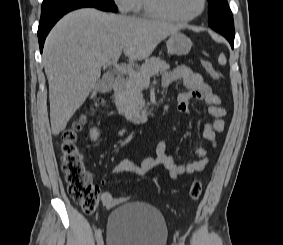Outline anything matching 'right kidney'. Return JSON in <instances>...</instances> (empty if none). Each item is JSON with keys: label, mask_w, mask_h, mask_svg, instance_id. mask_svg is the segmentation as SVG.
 <instances>
[{"label": "right kidney", "mask_w": 283, "mask_h": 245, "mask_svg": "<svg viewBox=\"0 0 283 245\" xmlns=\"http://www.w3.org/2000/svg\"><path fill=\"white\" fill-rule=\"evenodd\" d=\"M98 136H99V132L96 128L90 130V137L92 140L94 141L97 140Z\"/></svg>", "instance_id": "ca27d5eb"}]
</instances>
